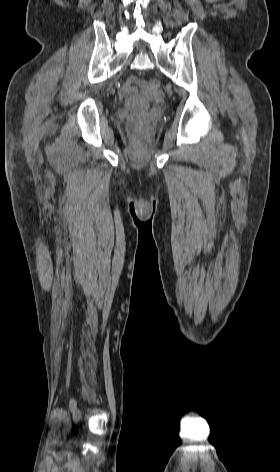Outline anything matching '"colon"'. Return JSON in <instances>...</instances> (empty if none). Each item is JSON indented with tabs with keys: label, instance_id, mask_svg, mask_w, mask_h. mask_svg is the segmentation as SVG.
<instances>
[{
	"label": "colon",
	"instance_id": "1",
	"mask_svg": "<svg viewBox=\"0 0 280 472\" xmlns=\"http://www.w3.org/2000/svg\"><path fill=\"white\" fill-rule=\"evenodd\" d=\"M150 91H157L159 88V83L156 80H150L147 84Z\"/></svg>",
	"mask_w": 280,
	"mask_h": 472
}]
</instances>
